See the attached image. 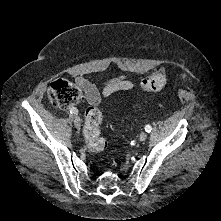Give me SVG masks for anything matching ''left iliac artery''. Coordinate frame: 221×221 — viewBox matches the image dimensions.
Returning <instances> with one entry per match:
<instances>
[{"label":"left iliac artery","instance_id":"obj_1","mask_svg":"<svg viewBox=\"0 0 221 221\" xmlns=\"http://www.w3.org/2000/svg\"><path fill=\"white\" fill-rule=\"evenodd\" d=\"M151 130H152V127H151L150 125H146V126H145V131H146V132L149 133V132H151Z\"/></svg>","mask_w":221,"mask_h":221}]
</instances>
